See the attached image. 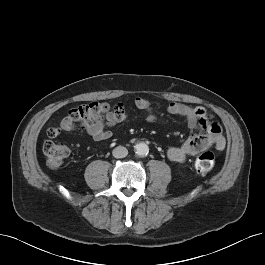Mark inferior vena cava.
<instances>
[{"instance_id":"1","label":"inferior vena cava","mask_w":265,"mask_h":265,"mask_svg":"<svg viewBox=\"0 0 265 265\" xmlns=\"http://www.w3.org/2000/svg\"><path fill=\"white\" fill-rule=\"evenodd\" d=\"M112 154L115 158H124L127 156L128 150L124 146H117L113 149Z\"/></svg>"}]
</instances>
